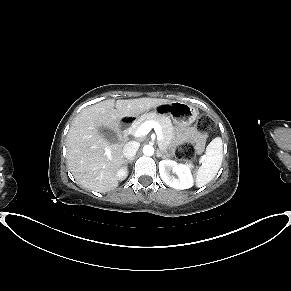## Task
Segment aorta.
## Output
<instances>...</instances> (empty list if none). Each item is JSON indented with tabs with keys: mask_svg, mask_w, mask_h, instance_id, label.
Segmentation results:
<instances>
[{
	"mask_svg": "<svg viewBox=\"0 0 291 291\" xmlns=\"http://www.w3.org/2000/svg\"><path fill=\"white\" fill-rule=\"evenodd\" d=\"M143 154L146 156H152L154 154V147L152 145H145L143 147Z\"/></svg>",
	"mask_w": 291,
	"mask_h": 291,
	"instance_id": "obj_1",
	"label": "aorta"
}]
</instances>
